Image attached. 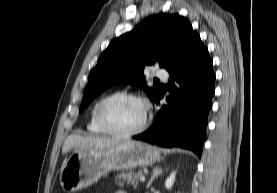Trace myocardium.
<instances>
[{"instance_id": "1", "label": "myocardium", "mask_w": 277, "mask_h": 193, "mask_svg": "<svg viewBox=\"0 0 277 193\" xmlns=\"http://www.w3.org/2000/svg\"><path fill=\"white\" fill-rule=\"evenodd\" d=\"M125 99L141 102L145 107V114H144L141 124L138 127L134 128L132 130H129V131H117V130L112 129L107 124L105 117H104V111H105V108L109 104L119 101V100H125ZM95 119H96L97 125L100 127V129L105 134H108V135H111L114 137H119V138H127V137L137 135V134L143 132L147 128L149 119H150V108H149L147 101L137 94L115 93V94L105 97L104 99H102L99 102V104L96 107V111H95Z\"/></svg>"}]
</instances>
